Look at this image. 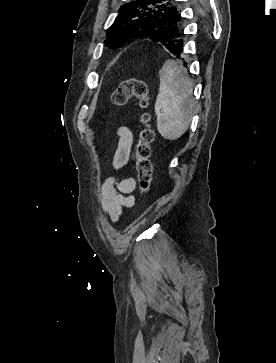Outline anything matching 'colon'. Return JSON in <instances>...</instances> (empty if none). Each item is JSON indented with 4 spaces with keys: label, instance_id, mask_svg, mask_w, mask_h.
<instances>
[{
    "label": "colon",
    "instance_id": "1",
    "mask_svg": "<svg viewBox=\"0 0 276 363\" xmlns=\"http://www.w3.org/2000/svg\"><path fill=\"white\" fill-rule=\"evenodd\" d=\"M148 85L141 79H129L121 82L112 94V103L116 106H124L129 98L137 99L139 106L145 109L148 105ZM148 113L140 116L142 128L133 153V159L137 171L139 188L142 194L150 191L152 185L153 169L151 162V144L155 133L149 124Z\"/></svg>",
    "mask_w": 276,
    "mask_h": 363
}]
</instances>
